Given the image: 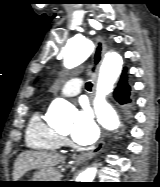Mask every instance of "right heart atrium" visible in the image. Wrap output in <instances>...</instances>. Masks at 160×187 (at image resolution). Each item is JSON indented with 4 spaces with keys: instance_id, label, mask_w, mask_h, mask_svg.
Wrapping results in <instances>:
<instances>
[{
    "instance_id": "1",
    "label": "right heart atrium",
    "mask_w": 160,
    "mask_h": 187,
    "mask_svg": "<svg viewBox=\"0 0 160 187\" xmlns=\"http://www.w3.org/2000/svg\"><path fill=\"white\" fill-rule=\"evenodd\" d=\"M63 144H67V140L65 138H62Z\"/></svg>"
}]
</instances>
